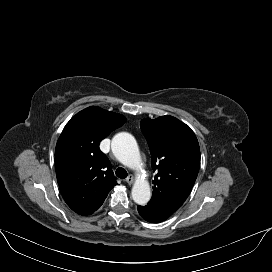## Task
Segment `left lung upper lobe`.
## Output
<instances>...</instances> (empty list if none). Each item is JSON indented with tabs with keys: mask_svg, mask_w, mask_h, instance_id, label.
<instances>
[{
	"mask_svg": "<svg viewBox=\"0 0 272 272\" xmlns=\"http://www.w3.org/2000/svg\"><path fill=\"white\" fill-rule=\"evenodd\" d=\"M156 173L149 207L170 217L191 192L200 167V148L189 126L169 115L141 120Z\"/></svg>",
	"mask_w": 272,
	"mask_h": 272,
	"instance_id": "obj_1",
	"label": "left lung upper lobe"
}]
</instances>
